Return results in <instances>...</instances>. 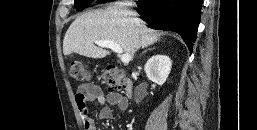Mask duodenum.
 Returning a JSON list of instances; mask_svg holds the SVG:
<instances>
[{
	"instance_id": "1",
	"label": "duodenum",
	"mask_w": 257,
	"mask_h": 130,
	"mask_svg": "<svg viewBox=\"0 0 257 130\" xmlns=\"http://www.w3.org/2000/svg\"><path fill=\"white\" fill-rule=\"evenodd\" d=\"M131 91H132L131 83L128 82L127 83V87H126V95L130 96L131 95Z\"/></svg>"
}]
</instances>
